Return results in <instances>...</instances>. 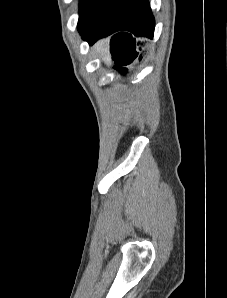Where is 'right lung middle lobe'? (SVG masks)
<instances>
[{
	"mask_svg": "<svg viewBox=\"0 0 227 298\" xmlns=\"http://www.w3.org/2000/svg\"><path fill=\"white\" fill-rule=\"evenodd\" d=\"M112 0H81L78 30L81 32Z\"/></svg>",
	"mask_w": 227,
	"mask_h": 298,
	"instance_id": "obj_1",
	"label": "right lung middle lobe"
}]
</instances>
